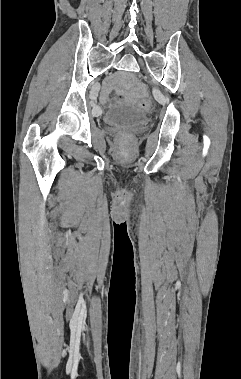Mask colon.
Returning a JSON list of instances; mask_svg holds the SVG:
<instances>
[{"label": "colon", "mask_w": 241, "mask_h": 379, "mask_svg": "<svg viewBox=\"0 0 241 379\" xmlns=\"http://www.w3.org/2000/svg\"><path fill=\"white\" fill-rule=\"evenodd\" d=\"M142 102L140 103V106L142 108H149L151 104V99L148 94H143L142 95Z\"/></svg>", "instance_id": "obj_1"}]
</instances>
